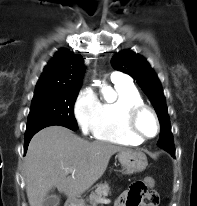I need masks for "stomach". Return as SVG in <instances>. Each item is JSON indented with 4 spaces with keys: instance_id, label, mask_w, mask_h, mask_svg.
<instances>
[{
    "instance_id": "stomach-1",
    "label": "stomach",
    "mask_w": 197,
    "mask_h": 206,
    "mask_svg": "<svg viewBox=\"0 0 197 206\" xmlns=\"http://www.w3.org/2000/svg\"><path fill=\"white\" fill-rule=\"evenodd\" d=\"M118 159L123 167V173L128 175L142 172L148 165L146 155L140 151H121L118 154ZM70 206H85V204L83 201H78Z\"/></svg>"
}]
</instances>
